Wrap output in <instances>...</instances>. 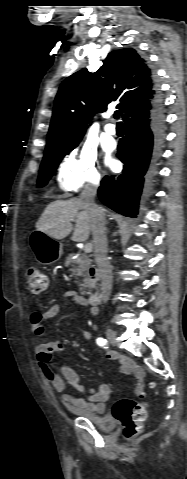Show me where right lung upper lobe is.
Masks as SVG:
<instances>
[{
    "instance_id": "obj_1",
    "label": "right lung upper lobe",
    "mask_w": 187,
    "mask_h": 479,
    "mask_svg": "<svg viewBox=\"0 0 187 479\" xmlns=\"http://www.w3.org/2000/svg\"><path fill=\"white\" fill-rule=\"evenodd\" d=\"M159 95L155 74L132 48L110 52L100 69L67 77L55 98L46 151L80 141L94 113L111 103L123 113L149 105Z\"/></svg>"
}]
</instances>
